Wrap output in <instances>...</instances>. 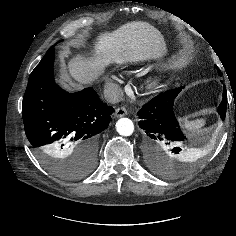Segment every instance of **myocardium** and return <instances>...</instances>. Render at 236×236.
<instances>
[{
    "mask_svg": "<svg viewBox=\"0 0 236 236\" xmlns=\"http://www.w3.org/2000/svg\"><path fill=\"white\" fill-rule=\"evenodd\" d=\"M158 82V79H154L153 82H152V85H156Z\"/></svg>",
    "mask_w": 236,
    "mask_h": 236,
    "instance_id": "myocardium-1",
    "label": "myocardium"
}]
</instances>
